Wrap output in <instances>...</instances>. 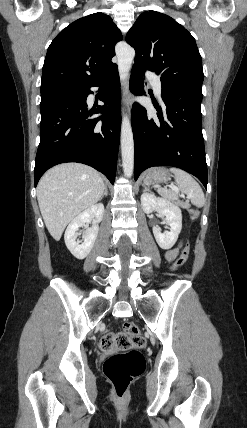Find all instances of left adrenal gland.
<instances>
[{
  "instance_id": "left-adrenal-gland-1",
  "label": "left adrenal gland",
  "mask_w": 247,
  "mask_h": 428,
  "mask_svg": "<svg viewBox=\"0 0 247 428\" xmlns=\"http://www.w3.org/2000/svg\"><path fill=\"white\" fill-rule=\"evenodd\" d=\"M142 186L144 187V191H149V188L145 184H142Z\"/></svg>"
}]
</instances>
